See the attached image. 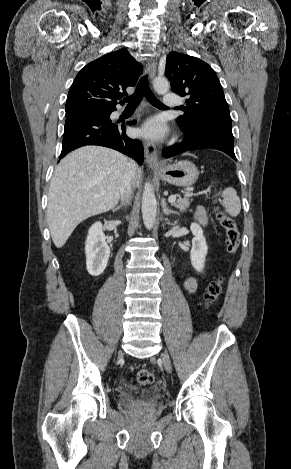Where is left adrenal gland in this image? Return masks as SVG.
Segmentation results:
<instances>
[{
  "label": "left adrenal gland",
  "instance_id": "1",
  "mask_svg": "<svg viewBox=\"0 0 291 469\" xmlns=\"http://www.w3.org/2000/svg\"><path fill=\"white\" fill-rule=\"evenodd\" d=\"M161 205H162L163 212H164L165 215H169V214H179L177 211L172 210V209H170V208L167 207L166 202H165V198H162Z\"/></svg>",
  "mask_w": 291,
  "mask_h": 469
}]
</instances>
